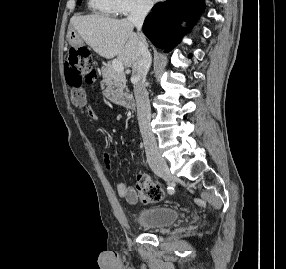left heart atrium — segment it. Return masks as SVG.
Instances as JSON below:
<instances>
[{"label": "left heart atrium", "mask_w": 286, "mask_h": 269, "mask_svg": "<svg viewBox=\"0 0 286 269\" xmlns=\"http://www.w3.org/2000/svg\"><path fill=\"white\" fill-rule=\"evenodd\" d=\"M155 1H158V0H151V2H155Z\"/></svg>", "instance_id": "left-heart-atrium-1"}]
</instances>
